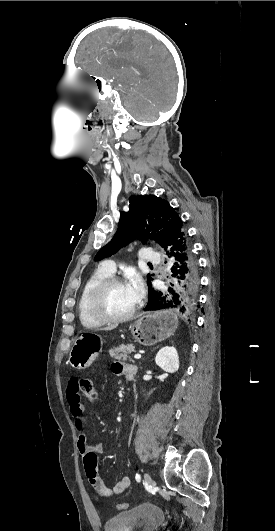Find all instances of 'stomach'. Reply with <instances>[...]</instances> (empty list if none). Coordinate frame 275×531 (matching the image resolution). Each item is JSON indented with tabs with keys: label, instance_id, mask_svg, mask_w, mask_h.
Wrapping results in <instances>:
<instances>
[{
	"label": "stomach",
	"instance_id": "obj_1",
	"mask_svg": "<svg viewBox=\"0 0 275 531\" xmlns=\"http://www.w3.org/2000/svg\"><path fill=\"white\" fill-rule=\"evenodd\" d=\"M178 323V317L173 311H154V313H144L133 321L130 331L137 343L151 347L171 337ZM102 347L103 341L100 335L84 333L74 341L71 347L69 365L74 369H87L101 353Z\"/></svg>",
	"mask_w": 275,
	"mask_h": 531
}]
</instances>
